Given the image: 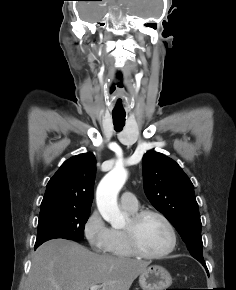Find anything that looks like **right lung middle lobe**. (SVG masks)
<instances>
[{"instance_id": "right-lung-middle-lobe-1", "label": "right lung middle lobe", "mask_w": 236, "mask_h": 290, "mask_svg": "<svg viewBox=\"0 0 236 290\" xmlns=\"http://www.w3.org/2000/svg\"><path fill=\"white\" fill-rule=\"evenodd\" d=\"M90 209L49 208L40 211L35 246L55 238L82 240Z\"/></svg>"}]
</instances>
